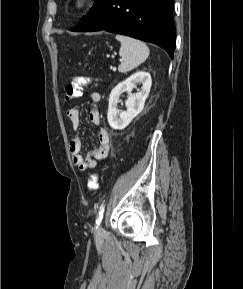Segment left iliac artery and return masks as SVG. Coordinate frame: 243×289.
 Instances as JSON below:
<instances>
[{
	"mask_svg": "<svg viewBox=\"0 0 243 289\" xmlns=\"http://www.w3.org/2000/svg\"><path fill=\"white\" fill-rule=\"evenodd\" d=\"M105 210V204H101L100 205V208H99V212H98V215H97V220H96V224L99 225L100 222H101V219L103 217V212Z\"/></svg>",
	"mask_w": 243,
	"mask_h": 289,
	"instance_id": "44dca946",
	"label": "left iliac artery"
}]
</instances>
